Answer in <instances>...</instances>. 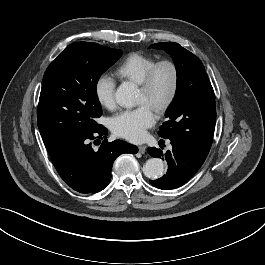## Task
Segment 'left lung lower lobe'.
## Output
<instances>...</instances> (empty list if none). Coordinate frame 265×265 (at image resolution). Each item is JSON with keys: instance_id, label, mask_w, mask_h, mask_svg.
Wrapping results in <instances>:
<instances>
[{"instance_id": "left-lung-lower-lobe-1", "label": "left lung lower lobe", "mask_w": 265, "mask_h": 265, "mask_svg": "<svg viewBox=\"0 0 265 265\" xmlns=\"http://www.w3.org/2000/svg\"><path fill=\"white\" fill-rule=\"evenodd\" d=\"M172 149L165 154L155 147L148 148V153L168 163L166 175L157 180H150V183L162 190L175 189L185 184L195 175L202 166L205 159L198 157L188 146L176 141H171Z\"/></svg>"}]
</instances>
